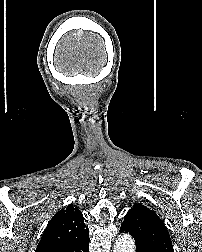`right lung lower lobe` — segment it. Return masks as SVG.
<instances>
[{
  "label": "right lung lower lobe",
  "instance_id": "obj_1",
  "mask_svg": "<svg viewBox=\"0 0 202 252\" xmlns=\"http://www.w3.org/2000/svg\"><path fill=\"white\" fill-rule=\"evenodd\" d=\"M89 251V246H88V249L86 250V252H88Z\"/></svg>",
  "mask_w": 202,
  "mask_h": 252
}]
</instances>
